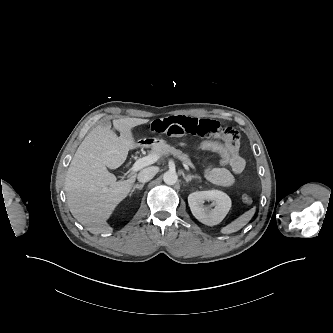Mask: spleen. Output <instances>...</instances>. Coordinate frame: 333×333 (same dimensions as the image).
I'll return each instance as SVG.
<instances>
[{
	"mask_svg": "<svg viewBox=\"0 0 333 333\" xmlns=\"http://www.w3.org/2000/svg\"><path fill=\"white\" fill-rule=\"evenodd\" d=\"M256 208L253 207L250 210L246 211L242 215H240L237 219L232 221L230 224L223 227L220 232L222 234H231L239 231L243 228L254 216Z\"/></svg>",
	"mask_w": 333,
	"mask_h": 333,
	"instance_id": "3e777b00",
	"label": "spleen"
}]
</instances>
